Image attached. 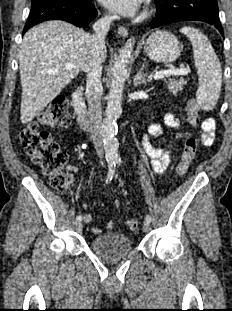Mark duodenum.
<instances>
[{"mask_svg": "<svg viewBox=\"0 0 232 311\" xmlns=\"http://www.w3.org/2000/svg\"><path fill=\"white\" fill-rule=\"evenodd\" d=\"M83 93L84 87L83 86L77 87L72 94V103L77 121L82 127L87 128L89 126L90 121L87 108L84 102Z\"/></svg>", "mask_w": 232, "mask_h": 311, "instance_id": "obj_1", "label": "duodenum"}]
</instances>
